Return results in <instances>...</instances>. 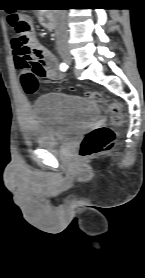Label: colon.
<instances>
[{
  "instance_id": "colon-1",
  "label": "colon",
  "mask_w": 145,
  "mask_h": 278,
  "mask_svg": "<svg viewBox=\"0 0 145 278\" xmlns=\"http://www.w3.org/2000/svg\"><path fill=\"white\" fill-rule=\"evenodd\" d=\"M8 24L18 36L21 44L28 48L32 40V32L26 20L22 19L17 14L8 16ZM38 80L36 76L30 78V83L26 87V92L29 95L35 94L38 91ZM88 97L96 102H104L111 115L113 125H120L124 121L122 108L115 104L106 101L100 93H90ZM115 142V131L111 126H102L91 129L83 137L79 155L82 160H88L94 156L109 150Z\"/></svg>"
}]
</instances>
